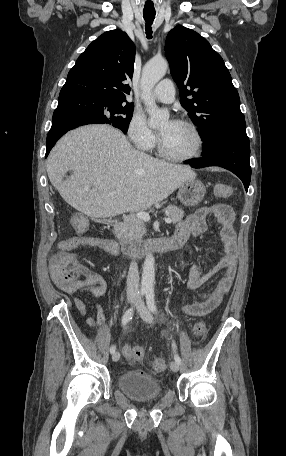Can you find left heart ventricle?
<instances>
[{
	"label": "left heart ventricle",
	"instance_id": "b2bd125f",
	"mask_svg": "<svg viewBox=\"0 0 286 456\" xmlns=\"http://www.w3.org/2000/svg\"><path fill=\"white\" fill-rule=\"evenodd\" d=\"M165 150L175 156H188L195 152L197 139L186 126L175 122H164L158 128Z\"/></svg>",
	"mask_w": 286,
	"mask_h": 456
}]
</instances>
